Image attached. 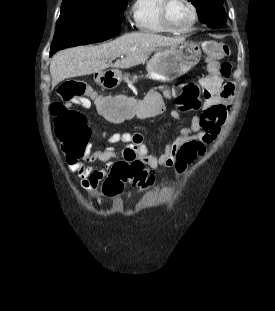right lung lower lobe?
<instances>
[{"label": "right lung lower lobe", "mask_w": 275, "mask_h": 311, "mask_svg": "<svg viewBox=\"0 0 275 311\" xmlns=\"http://www.w3.org/2000/svg\"><path fill=\"white\" fill-rule=\"evenodd\" d=\"M120 27H121V23L119 24V26L116 28V30H114L113 32H109L108 34H105L102 38L101 41L107 40L111 37H114L115 35H118L120 32Z\"/></svg>", "instance_id": "1"}]
</instances>
